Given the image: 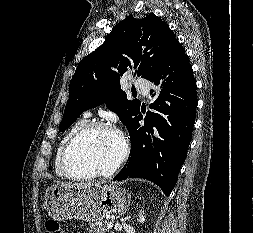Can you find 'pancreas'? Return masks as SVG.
<instances>
[{
    "instance_id": "1",
    "label": "pancreas",
    "mask_w": 253,
    "mask_h": 233,
    "mask_svg": "<svg viewBox=\"0 0 253 233\" xmlns=\"http://www.w3.org/2000/svg\"><path fill=\"white\" fill-rule=\"evenodd\" d=\"M89 226L90 228H88V231L90 233H107L109 231L106 222L100 225H97L95 223H90Z\"/></svg>"
}]
</instances>
